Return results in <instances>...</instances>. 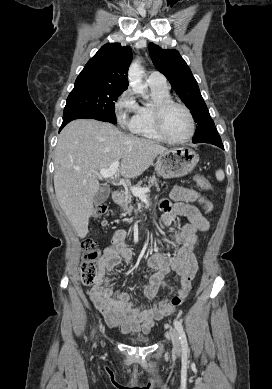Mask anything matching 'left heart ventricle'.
<instances>
[{
	"label": "left heart ventricle",
	"instance_id": "obj_1",
	"mask_svg": "<svg viewBox=\"0 0 272 389\" xmlns=\"http://www.w3.org/2000/svg\"><path fill=\"white\" fill-rule=\"evenodd\" d=\"M163 123L167 134L176 139L184 138L190 131L188 116L178 106H171L165 111Z\"/></svg>",
	"mask_w": 272,
	"mask_h": 389
}]
</instances>
